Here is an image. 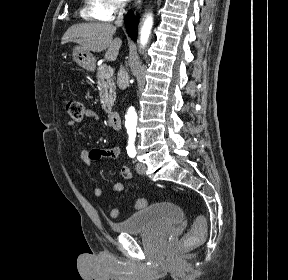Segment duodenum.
<instances>
[{"label": "duodenum", "mask_w": 288, "mask_h": 280, "mask_svg": "<svg viewBox=\"0 0 288 280\" xmlns=\"http://www.w3.org/2000/svg\"><path fill=\"white\" fill-rule=\"evenodd\" d=\"M108 122L114 130H119L121 128V120L117 112H111L108 115Z\"/></svg>", "instance_id": "obj_1"}]
</instances>
